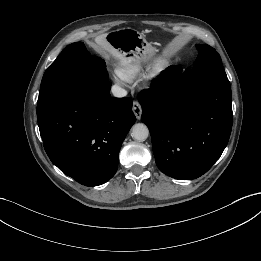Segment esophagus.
I'll list each match as a JSON object with an SVG mask.
<instances>
[{
    "instance_id": "obj_1",
    "label": "esophagus",
    "mask_w": 261,
    "mask_h": 261,
    "mask_svg": "<svg viewBox=\"0 0 261 261\" xmlns=\"http://www.w3.org/2000/svg\"><path fill=\"white\" fill-rule=\"evenodd\" d=\"M132 110L135 114V117L139 120L141 118V115H142V108H141V105L138 101L133 102Z\"/></svg>"
}]
</instances>
